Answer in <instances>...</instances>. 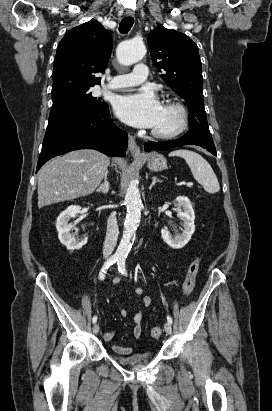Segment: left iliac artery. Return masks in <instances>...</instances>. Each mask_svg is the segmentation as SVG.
Instances as JSON below:
<instances>
[{
    "mask_svg": "<svg viewBox=\"0 0 272 411\" xmlns=\"http://www.w3.org/2000/svg\"><path fill=\"white\" fill-rule=\"evenodd\" d=\"M118 270L121 274L123 275H127V271H126V265H125V258H119L118 260ZM167 321L168 323L172 324V318L171 316H167Z\"/></svg>",
    "mask_w": 272,
    "mask_h": 411,
    "instance_id": "left-iliac-artery-1",
    "label": "left iliac artery"
}]
</instances>
